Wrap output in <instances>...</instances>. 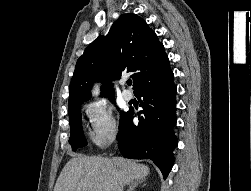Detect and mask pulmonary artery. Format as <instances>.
Listing matches in <instances>:
<instances>
[{
	"instance_id": "1",
	"label": "pulmonary artery",
	"mask_w": 251,
	"mask_h": 191,
	"mask_svg": "<svg viewBox=\"0 0 251 191\" xmlns=\"http://www.w3.org/2000/svg\"><path fill=\"white\" fill-rule=\"evenodd\" d=\"M120 85L122 86L123 90H122V96L125 100H131L133 98V93L125 88L126 85V79L122 78L119 81Z\"/></svg>"
}]
</instances>
